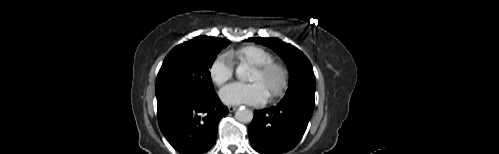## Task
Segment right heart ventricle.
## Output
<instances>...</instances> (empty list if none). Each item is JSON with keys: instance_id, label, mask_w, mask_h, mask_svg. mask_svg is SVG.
<instances>
[{"instance_id": "right-heart-ventricle-1", "label": "right heart ventricle", "mask_w": 499, "mask_h": 154, "mask_svg": "<svg viewBox=\"0 0 499 154\" xmlns=\"http://www.w3.org/2000/svg\"><path fill=\"white\" fill-rule=\"evenodd\" d=\"M226 56L235 63H250L254 66L273 60V54L266 48L258 45H247L226 53Z\"/></svg>"}]
</instances>
